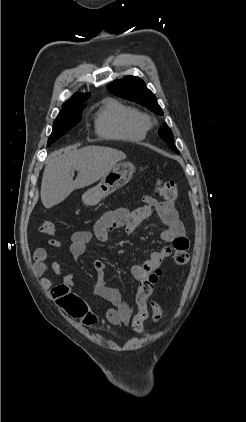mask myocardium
I'll use <instances>...</instances> for the list:
<instances>
[{"instance_id":"obj_1","label":"myocardium","mask_w":246,"mask_h":422,"mask_svg":"<svg viewBox=\"0 0 246 422\" xmlns=\"http://www.w3.org/2000/svg\"><path fill=\"white\" fill-rule=\"evenodd\" d=\"M143 120L147 128L151 127L154 124L153 120L148 116H143Z\"/></svg>"}]
</instances>
